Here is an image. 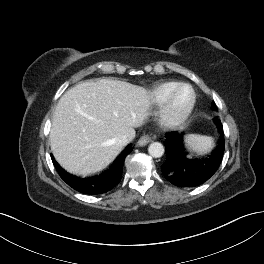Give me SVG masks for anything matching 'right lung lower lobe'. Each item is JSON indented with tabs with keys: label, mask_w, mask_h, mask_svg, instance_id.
Instances as JSON below:
<instances>
[{
	"label": "right lung lower lobe",
	"mask_w": 264,
	"mask_h": 264,
	"mask_svg": "<svg viewBox=\"0 0 264 264\" xmlns=\"http://www.w3.org/2000/svg\"><path fill=\"white\" fill-rule=\"evenodd\" d=\"M132 149V145H128L112 164L109 170L91 178L81 179L68 174L58 165L54 159L53 164L56 167L60 177L70 187L84 194H102L111 190L119 183L122 176V168L125 157L131 152Z\"/></svg>",
	"instance_id": "obj_1"
}]
</instances>
